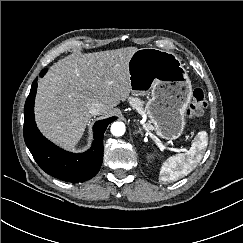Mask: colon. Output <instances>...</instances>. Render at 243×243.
<instances>
[{"mask_svg":"<svg viewBox=\"0 0 243 243\" xmlns=\"http://www.w3.org/2000/svg\"><path fill=\"white\" fill-rule=\"evenodd\" d=\"M206 107L205 93L201 88H195L192 93V100L185 108V117L192 119L202 114Z\"/></svg>","mask_w":243,"mask_h":243,"instance_id":"5ec220e1","label":"colon"}]
</instances>
